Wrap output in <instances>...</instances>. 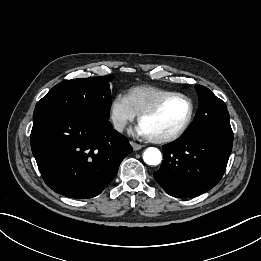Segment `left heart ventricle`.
I'll use <instances>...</instances> for the list:
<instances>
[{"instance_id":"1","label":"left heart ventricle","mask_w":261,"mask_h":261,"mask_svg":"<svg viewBox=\"0 0 261 261\" xmlns=\"http://www.w3.org/2000/svg\"><path fill=\"white\" fill-rule=\"evenodd\" d=\"M189 112L188 103L181 98H171L153 115L144 117L141 125L149 136L159 137L176 131Z\"/></svg>"}]
</instances>
